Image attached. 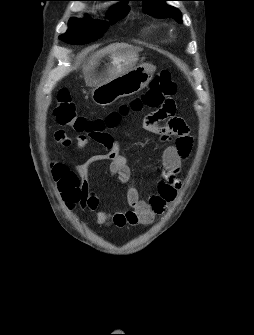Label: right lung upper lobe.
I'll use <instances>...</instances> for the list:
<instances>
[{
	"instance_id": "obj_1",
	"label": "right lung upper lobe",
	"mask_w": 254,
	"mask_h": 335,
	"mask_svg": "<svg viewBox=\"0 0 254 335\" xmlns=\"http://www.w3.org/2000/svg\"><path fill=\"white\" fill-rule=\"evenodd\" d=\"M114 1H121L117 6H127V2L130 0H114Z\"/></svg>"
}]
</instances>
